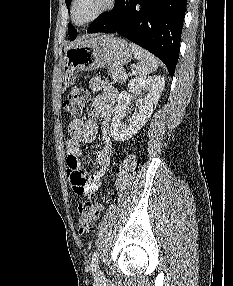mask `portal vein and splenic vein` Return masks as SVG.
Wrapping results in <instances>:
<instances>
[{
	"label": "portal vein and splenic vein",
	"mask_w": 233,
	"mask_h": 286,
	"mask_svg": "<svg viewBox=\"0 0 233 286\" xmlns=\"http://www.w3.org/2000/svg\"><path fill=\"white\" fill-rule=\"evenodd\" d=\"M124 76H126V77H127V74H126V73H124Z\"/></svg>",
	"instance_id": "18ae733b"
}]
</instances>
